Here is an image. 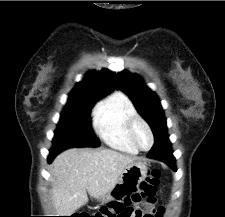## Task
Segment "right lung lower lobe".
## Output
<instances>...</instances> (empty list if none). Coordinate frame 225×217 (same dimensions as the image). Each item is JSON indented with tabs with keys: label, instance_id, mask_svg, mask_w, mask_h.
Returning <instances> with one entry per match:
<instances>
[{
	"label": "right lung lower lobe",
	"instance_id": "98d812e1",
	"mask_svg": "<svg viewBox=\"0 0 225 217\" xmlns=\"http://www.w3.org/2000/svg\"><path fill=\"white\" fill-rule=\"evenodd\" d=\"M58 153H60V152L55 151V150H51L50 155L48 157V162H51Z\"/></svg>",
	"mask_w": 225,
	"mask_h": 217
}]
</instances>
